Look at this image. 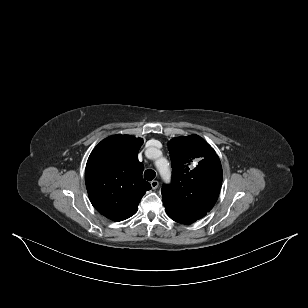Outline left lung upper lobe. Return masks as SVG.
<instances>
[{
    "instance_id": "left-lung-upper-lobe-1",
    "label": "left lung upper lobe",
    "mask_w": 308,
    "mask_h": 308,
    "mask_svg": "<svg viewBox=\"0 0 308 308\" xmlns=\"http://www.w3.org/2000/svg\"><path fill=\"white\" fill-rule=\"evenodd\" d=\"M173 169L172 183L162 187L167 215L191 224L209 212L220 193L222 167L215 150L197 135L168 142Z\"/></svg>"
}]
</instances>
